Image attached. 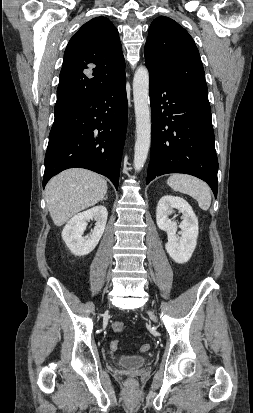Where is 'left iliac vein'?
<instances>
[{
	"label": "left iliac vein",
	"instance_id": "4c4485c4",
	"mask_svg": "<svg viewBox=\"0 0 253 413\" xmlns=\"http://www.w3.org/2000/svg\"><path fill=\"white\" fill-rule=\"evenodd\" d=\"M149 315L151 316V318H152L153 320H156V317H155V315H154L152 312H149Z\"/></svg>",
	"mask_w": 253,
	"mask_h": 413
}]
</instances>
